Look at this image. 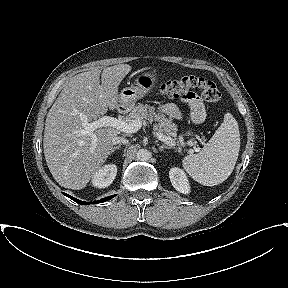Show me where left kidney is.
I'll return each instance as SVG.
<instances>
[{
    "label": "left kidney",
    "instance_id": "1",
    "mask_svg": "<svg viewBox=\"0 0 288 288\" xmlns=\"http://www.w3.org/2000/svg\"><path fill=\"white\" fill-rule=\"evenodd\" d=\"M169 177L173 187L177 191L184 194L189 192V183L183 170L177 167L171 168L169 171Z\"/></svg>",
    "mask_w": 288,
    "mask_h": 288
}]
</instances>
